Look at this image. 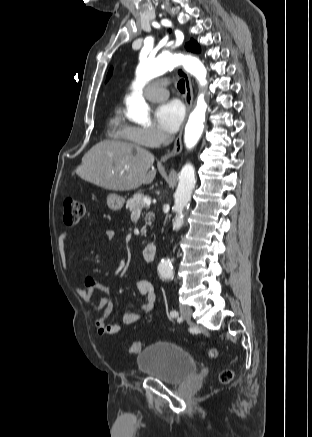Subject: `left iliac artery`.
Instances as JSON below:
<instances>
[{
    "mask_svg": "<svg viewBox=\"0 0 312 437\" xmlns=\"http://www.w3.org/2000/svg\"><path fill=\"white\" fill-rule=\"evenodd\" d=\"M170 316L173 317V318L177 317L178 316V312L173 310V311L170 312Z\"/></svg>",
    "mask_w": 312,
    "mask_h": 437,
    "instance_id": "left-iliac-artery-1",
    "label": "left iliac artery"
}]
</instances>
